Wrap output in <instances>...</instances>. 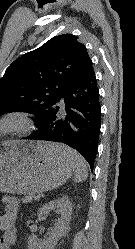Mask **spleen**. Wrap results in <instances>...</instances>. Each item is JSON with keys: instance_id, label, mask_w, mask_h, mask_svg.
Listing matches in <instances>:
<instances>
[{"instance_id": "spleen-1", "label": "spleen", "mask_w": 135, "mask_h": 249, "mask_svg": "<svg viewBox=\"0 0 135 249\" xmlns=\"http://www.w3.org/2000/svg\"><path fill=\"white\" fill-rule=\"evenodd\" d=\"M59 151L66 157L70 158L75 164L74 181L83 182L88 177V166L85 159L70 147L60 144Z\"/></svg>"}]
</instances>
